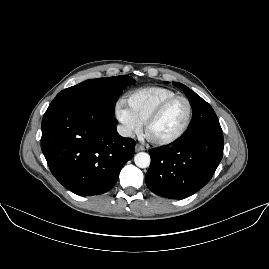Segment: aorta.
I'll use <instances>...</instances> for the list:
<instances>
[{
	"instance_id": "1",
	"label": "aorta",
	"mask_w": 269,
	"mask_h": 269,
	"mask_svg": "<svg viewBox=\"0 0 269 269\" xmlns=\"http://www.w3.org/2000/svg\"><path fill=\"white\" fill-rule=\"evenodd\" d=\"M134 162L137 167L146 169L150 166V156L145 152L138 153L135 155Z\"/></svg>"
}]
</instances>
